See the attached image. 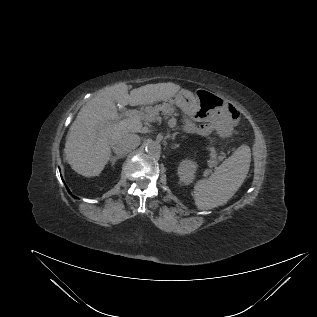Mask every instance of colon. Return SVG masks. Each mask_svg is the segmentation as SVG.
<instances>
[{
    "label": "colon",
    "mask_w": 317,
    "mask_h": 317,
    "mask_svg": "<svg viewBox=\"0 0 317 317\" xmlns=\"http://www.w3.org/2000/svg\"><path fill=\"white\" fill-rule=\"evenodd\" d=\"M229 113H230V116H231V118L233 119V120H237L238 119V112H237V110L235 109V108H233V107H230L229 108Z\"/></svg>",
    "instance_id": "obj_1"
}]
</instances>
